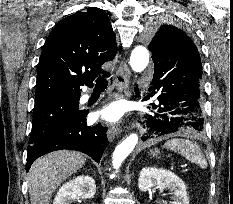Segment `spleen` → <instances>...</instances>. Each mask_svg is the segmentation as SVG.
Masks as SVG:
<instances>
[{
  "label": "spleen",
  "instance_id": "obj_1",
  "mask_svg": "<svg viewBox=\"0 0 233 204\" xmlns=\"http://www.w3.org/2000/svg\"><path fill=\"white\" fill-rule=\"evenodd\" d=\"M163 147L182 155L191 163L197 164L201 169H206L207 167V161L201 149L189 139H171Z\"/></svg>",
  "mask_w": 233,
  "mask_h": 204
}]
</instances>
